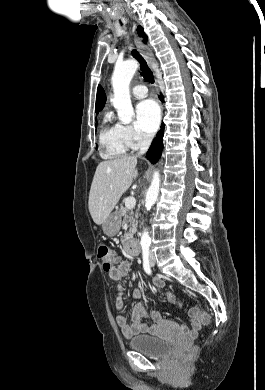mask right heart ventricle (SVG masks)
<instances>
[{"mask_svg": "<svg viewBox=\"0 0 265 390\" xmlns=\"http://www.w3.org/2000/svg\"><path fill=\"white\" fill-rule=\"evenodd\" d=\"M99 141L101 155L106 159L121 157L130 148L124 138L122 125L114 121L110 112H106L103 117Z\"/></svg>", "mask_w": 265, "mask_h": 390, "instance_id": "right-heart-ventricle-1", "label": "right heart ventricle"}]
</instances>
